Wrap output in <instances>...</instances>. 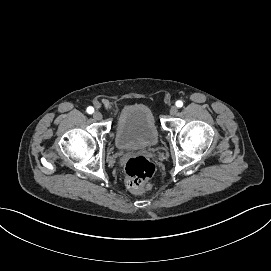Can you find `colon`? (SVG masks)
I'll return each instance as SVG.
<instances>
[{"label":"colon","instance_id":"1","mask_svg":"<svg viewBox=\"0 0 271 271\" xmlns=\"http://www.w3.org/2000/svg\"><path fill=\"white\" fill-rule=\"evenodd\" d=\"M124 173L128 189L139 193L150 188L149 180L155 173V165L144 156L132 157L126 162Z\"/></svg>","mask_w":271,"mask_h":271}]
</instances>
